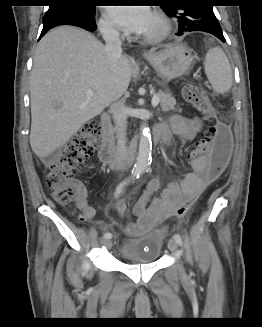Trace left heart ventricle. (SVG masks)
I'll return each mask as SVG.
<instances>
[{
  "label": "left heart ventricle",
  "mask_w": 262,
  "mask_h": 327,
  "mask_svg": "<svg viewBox=\"0 0 262 327\" xmlns=\"http://www.w3.org/2000/svg\"><path fill=\"white\" fill-rule=\"evenodd\" d=\"M154 28H155V22H154V20L152 19V21H151L149 27L147 28V30H146L144 33L150 32V31L154 30Z\"/></svg>",
  "instance_id": "obj_1"
}]
</instances>
